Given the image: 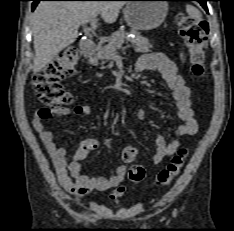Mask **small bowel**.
Wrapping results in <instances>:
<instances>
[{"label":"small bowel","mask_w":234,"mask_h":231,"mask_svg":"<svg viewBox=\"0 0 234 231\" xmlns=\"http://www.w3.org/2000/svg\"><path fill=\"white\" fill-rule=\"evenodd\" d=\"M138 68V71L156 70L162 75L172 90L177 116L181 121V125L175 131V137L170 141L162 135L156 137V152L152 157V162L159 164L165 157L171 156L179 150L182 137L194 135L198 131V123L191 108V90L178 73L177 65L163 53L143 55L138 61ZM69 113L85 117L91 114V108L86 104H77L71 111H53L46 107H39L35 110L32 120L33 128L41 138L54 164L59 184L67 194L75 197H82L94 190L104 191L113 188L110 195L111 200L119 199L125 193L123 181L127 168L124 165L117 166L115 173L109 177H91L82 170L81 161L100 147L101 142L98 138L83 140L69 158L65 143L58 145L53 132L45 128V122L54 114L63 117Z\"/></svg>","instance_id":"1"}]
</instances>
